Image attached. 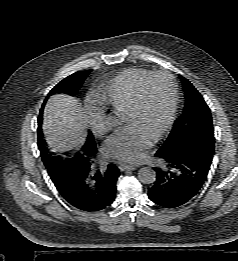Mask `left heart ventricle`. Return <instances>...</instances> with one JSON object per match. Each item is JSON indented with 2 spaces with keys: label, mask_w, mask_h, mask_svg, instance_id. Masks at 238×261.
Wrapping results in <instances>:
<instances>
[{
  "label": "left heart ventricle",
  "mask_w": 238,
  "mask_h": 261,
  "mask_svg": "<svg viewBox=\"0 0 238 261\" xmlns=\"http://www.w3.org/2000/svg\"><path fill=\"white\" fill-rule=\"evenodd\" d=\"M171 104V86L166 77L152 79L146 86L141 109L127 113V127L138 126L150 136H154L163 126Z\"/></svg>",
  "instance_id": "b2bd125f"
}]
</instances>
